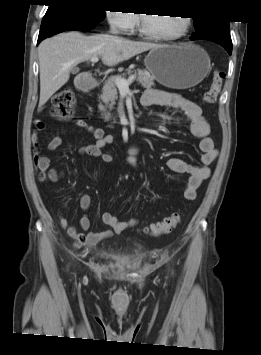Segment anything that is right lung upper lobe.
Listing matches in <instances>:
<instances>
[{
  "mask_svg": "<svg viewBox=\"0 0 261 355\" xmlns=\"http://www.w3.org/2000/svg\"><path fill=\"white\" fill-rule=\"evenodd\" d=\"M48 1H50L49 3H51V4H55V3H59V2L77 1V0H48Z\"/></svg>",
  "mask_w": 261,
  "mask_h": 355,
  "instance_id": "obj_1",
  "label": "right lung upper lobe"
}]
</instances>
